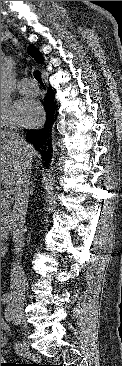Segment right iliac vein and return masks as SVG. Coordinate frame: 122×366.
Instances as JSON below:
<instances>
[{
	"instance_id": "right-iliac-vein-1",
	"label": "right iliac vein",
	"mask_w": 122,
	"mask_h": 366,
	"mask_svg": "<svg viewBox=\"0 0 122 366\" xmlns=\"http://www.w3.org/2000/svg\"><path fill=\"white\" fill-rule=\"evenodd\" d=\"M16 318H17V321L19 322V324L22 325L23 330L27 331V323L24 320V316L20 313H16Z\"/></svg>"
}]
</instances>
